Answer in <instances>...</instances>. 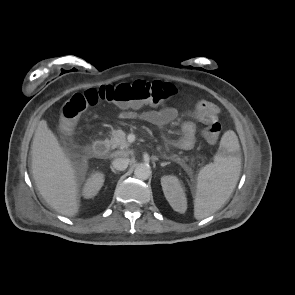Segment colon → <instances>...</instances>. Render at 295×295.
Here are the masks:
<instances>
[{
	"label": "colon",
	"mask_w": 295,
	"mask_h": 295,
	"mask_svg": "<svg viewBox=\"0 0 295 295\" xmlns=\"http://www.w3.org/2000/svg\"><path fill=\"white\" fill-rule=\"evenodd\" d=\"M176 92V87L170 83L145 80L89 89L75 94L63 104L60 128L63 133H69L80 115L99 102H109L121 108H140L144 105H162ZM220 130L218 121H211L203 128L202 135L207 141L215 142Z\"/></svg>",
	"instance_id": "obj_1"
}]
</instances>
